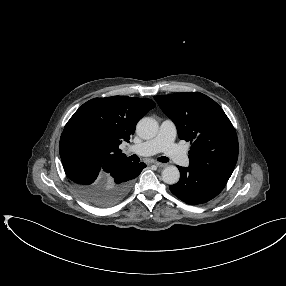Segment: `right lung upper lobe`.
Returning <instances> with one entry per match:
<instances>
[{"label": "right lung upper lobe", "instance_id": "1", "mask_svg": "<svg viewBox=\"0 0 286 286\" xmlns=\"http://www.w3.org/2000/svg\"><path fill=\"white\" fill-rule=\"evenodd\" d=\"M156 105L151 99L112 96L84 103L70 118L63 133L84 139L100 160L107 164L129 161L119 149L129 142L137 122Z\"/></svg>", "mask_w": 286, "mask_h": 286}]
</instances>
